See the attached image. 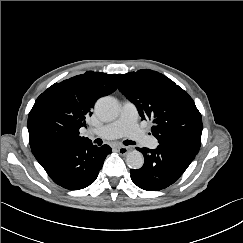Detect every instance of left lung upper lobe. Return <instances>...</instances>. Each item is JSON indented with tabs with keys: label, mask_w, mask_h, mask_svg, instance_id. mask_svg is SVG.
Here are the masks:
<instances>
[{
	"label": "left lung upper lobe",
	"mask_w": 243,
	"mask_h": 243,
	"mask_svg": "<svg viewBox=\"0 0 243 243\" xmlns=\"http://www.w3.org/2000/svg\"><path fill=\"white\" fill-rule=\"evenodd\" d=\"M119 90L136 105L143 120L153 122L151 131L160 144L201 141L202 118L194 101L163 74L149 69L123 74Z\"/></svg>",
	"instance_id": "5c2ea615"
}]
</instances>
